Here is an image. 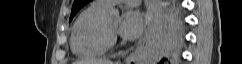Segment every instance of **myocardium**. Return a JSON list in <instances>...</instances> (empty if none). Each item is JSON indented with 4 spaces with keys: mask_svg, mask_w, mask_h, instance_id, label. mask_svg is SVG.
<instances>
[{
    "mask_svg": "<svg viewBox=\"0 0 242 64\" xmlns=\"http://www.w3.org/2000/svg\"><path fill=\"white\" fill-rule=\"evenodd\" d=\"M95 40L104 47H110L115 42L114 31L107 28L105 19L103 18L96 26L93 32Z\"/></svg>",
    "mask_w": 242,
    "mask_h": 64,
    "instance_id": "obj_1",
    "label": "myocardium"
}]
</instances>
